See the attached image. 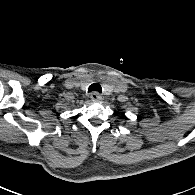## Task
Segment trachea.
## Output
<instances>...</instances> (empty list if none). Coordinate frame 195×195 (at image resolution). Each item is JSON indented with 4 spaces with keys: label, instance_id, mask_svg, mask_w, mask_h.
I'll use <instances>...</instances> for the list:
<instances>
[{
    "label": "trachea",
    "instance_id": "trachea-1",
    "mask_svg": "<svg viewBox=\"0 0 195 195\" xmlns=\"http://www.w3.org/2000/svg\"><path fill=\"white\" fill-rule=\"evenodd\" d=\"M92 91H96V92L101 93V91H102L101 85L98 83L91 84L88 88V92H92Z\"/></svg>",
    "mask_w": 195,
    "mask_h": 195
}]
</instances>
